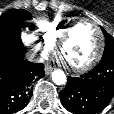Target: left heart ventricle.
<instances>
[{
  "instance_id": "obj_1",
  "label": "left heart ventricle",
  "mask_w": 114,
  "mask_h": 114,
  "mask_svg": "<svg viewBox=\"0 0 114 114\" xmlns=\"http://www.w3.org/2000/svg\"><path fill=\"white\" fill-rule=\"evenodd\" d=\"M99 44L95 27L84 22L79 24L63 49V57L74 65L88 62L95 54Z\"/></svg>"
}]
</instances>
